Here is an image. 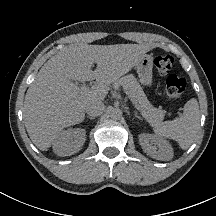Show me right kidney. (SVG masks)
Listing matches in <instances>:
<instances>
[{"label":"right kidney","mask_w":216,"mask_h":216,"mask_svg":"<svg viewBox=\"0 0 216 216\" xmlns=\"http://www.w3.org/2000/svg\"><path fill=\"white\" fill-rule=\"evenodd\" d=\"M86 139L84 129H67L60 132L53 142V151L58 156L65 157L77 153Z\"/></svg>","instance_id":"right-kidney-1"}]
</instances>
